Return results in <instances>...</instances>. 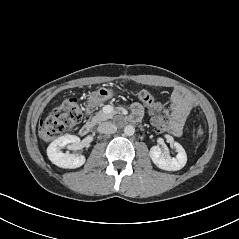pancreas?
I'll use <instances>...</instances> for the list:
<instances>
[{
    "label": "pancreas",
    "instance_id": "pancreas-1",
    "mask_svg": "<svg viewBox=\"0 0 239 239\" xmlns=\"http://www.w3.org/2000/svg\"><path fill=\"white\" fill-rule=\"evenodd\" d=\"M115 113H105L103 110L98 111L95 116L92 118V122L101 123L103 121L112 119Z\"/></svg>",
    "mask_w": 239,
    "mask_h": 239
}]
</instances>
